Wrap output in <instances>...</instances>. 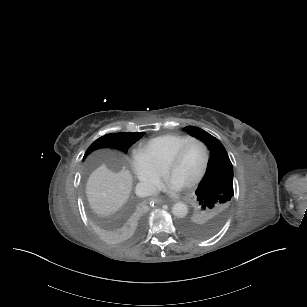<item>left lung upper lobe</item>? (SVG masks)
<instances>
[{"label":"left lung upper lobe","mask_w":307,"mask_h":307,"mask_svg":"<svg viewBox=\"0 0 307 307\" xmlns=\"http://www.w3.org/2000/svg\"><path fill=\"white\" fill-rule=\"evenodd\" d=\"M187 131L202 140L210 150L206 173L196 190L194 213L184 219L182 231L193 238L214 235L224 224L233 192V167L222 143L206 131L189 126Z\"/></svg>","instance_id":"5c2ea615"}]
</instances>
